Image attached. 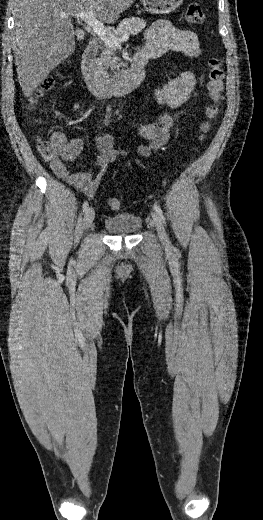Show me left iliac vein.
I'll use <instances>...</instances> for the list:
<instances>
[{
    "instance_id": "1",
    "label": "left iliac vein",
    "mask_w": 263,
    "mask_h": 520,
    "mask_svg": "<svg viewBox=\"0 0 263 520\" xmlns=\"http://www.w3.org/2000/svg\"><path fill=\"white\" fill-rule=\"evenodd\" d=\"M152 219H153V223L156 227L160 240L162 241L163 244L167 245L169 243V241H168V237H167L165 228H164L160 218L158 217V215L155 212H152Z\"/></svg>"
}]
</instances>
